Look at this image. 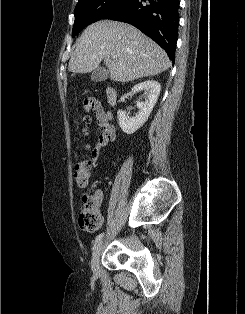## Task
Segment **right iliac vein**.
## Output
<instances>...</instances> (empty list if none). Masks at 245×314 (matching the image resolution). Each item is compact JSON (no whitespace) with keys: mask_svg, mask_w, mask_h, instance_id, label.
I'll list each match as a JSON object with an SVG mask.
<instances>
[{"mask_svg":"<svg viewBox=\"0 0 245 314\" xmlns=\"http://www.w3.org/2000/svg\"><path fill=\"white\" fill-rule=\"evenodd\" d=\"M102 247H103V240H100L94 246L93 253H92L91 269L96 274L99 272V258H100Z\"/></svg>","mask_w":245,"mask_h":314,"instance_id":"obj_1","label":"right iliac vein"}]
</instances>
